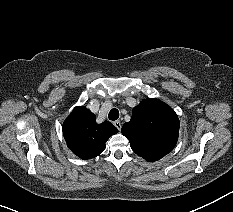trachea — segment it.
<instances>
[{"mask_svg":"<svg viewBox=\"0 0 233 212\" xmlns=\"http://www.w3.org/2000/svg\"><path fill=\"white\" fill-rule=\"evenodd\" d=\"M118 117H119V111L116 108L112 109L108 114L109 120L112 121L117 120Z\"/></svg>","mask_w":233,"mask_h":212,"instance_id":"1","label":"trachea"}]
</instances>
